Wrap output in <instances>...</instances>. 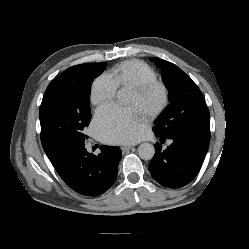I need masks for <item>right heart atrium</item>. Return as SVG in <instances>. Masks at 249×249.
Returning a JSON list of instances; mask_svg holds the SVG:
<instances>
[{
	"label": "right heart atrium",
	"instance_id": "obj_1",
	"mask_svg": "<svg viewBox=\"0 0 249 249\" xmlns=\"http://www.w3.org/2000/svg\"><path fill=\"white\" fill-rule=\"evenodd\" d=\"M118 86L108 74L98 76L90 92V100L94 105H103L110 102L117 92Z\"/></svg>",
	"mask_w": 249,
	"mask_h": 249
}]
</instances>
